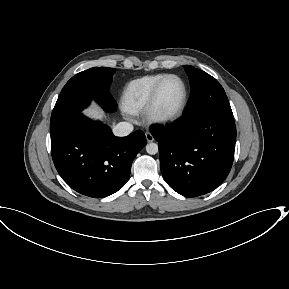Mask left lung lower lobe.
Wrapping results in <instances>:
<instances>
[{
  "mask_svg": "<svg viewBox=\"0 0 289 289\" xmlns=\"http://www.w3.org/2000/svg\"><path fill=\"white\" fill-rule=\"evenodd\" d=\"M160 168L177 193L196 197L211 192L227 177L234 159L236 127L233 114L198 111L167 127H154Z\"/></svg>",
  "mask_w": 289,
  "mask_h": 289,
  "instance_id": "obj_1",
  "label": "left lung lower lobe"
}]
</instances>
